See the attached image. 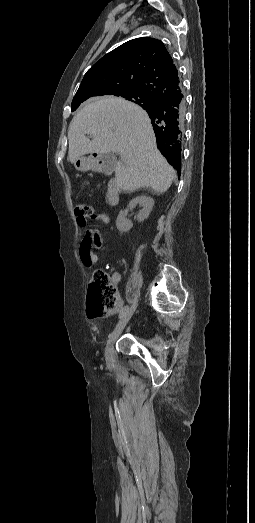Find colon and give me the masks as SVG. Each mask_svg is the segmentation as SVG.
I'll use <instances>...</instances> for the list:
<instances>
[{
    "label": "colon",
    "mask_w": 255,
    "mask_h": 523,
    "mask_svg": "<svg viewBox=\"0 0 255 523\" xmlns=\"http://www.w3.org/2000/svg\"><path fill=\"white\" fill-rule=\"evenodd\" d=\"M75 214L80 225H86L93 217V209L88 204H79ZM120 307V299L115 285L103 269L94 270L88 286L87 315L89 318L111 315Z\"/></svg>",
    "instance_id": "colon-1"
}]
</instances>
